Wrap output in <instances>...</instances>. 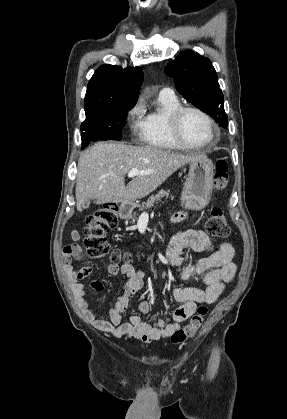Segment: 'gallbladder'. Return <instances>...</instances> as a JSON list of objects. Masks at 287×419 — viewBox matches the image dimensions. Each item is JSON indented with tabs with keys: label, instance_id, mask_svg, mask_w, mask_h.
I'll return each instance as SVG.
<instances>
[{
	"label": "gallbladder",
	"instance_id": "1",
	"mask_svg": "<svg viewBox=\"0 0 287 419\" xmlns=\"http://www.w3.org/2000/svg\"><path fill=\"white\" fill-rule=\"evenodd\" d=\"M90 206V200H86L85 202H83L82 204V209H88Z\"/></svg>",
	"mask_w": 287,
	"mask_h": 419
}]
</instances>
